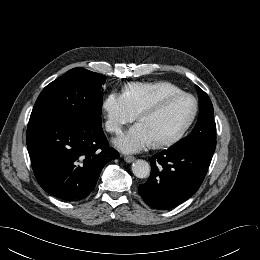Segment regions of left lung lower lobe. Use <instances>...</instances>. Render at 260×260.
I'll list each match as a JSON object with an SVG mask.
<instances>
[{"mask_svg": "<svg viewBox=\"0 0 260 260\" xmlns=\"http://www.w3.org/2000/svg\"><path fill=\"white\" fill-rule=\"evenodd\" d=\"M213 153L170 147L150 159L152 172L138 192L150 207L168 210L190 198L199 189Z\"/></svg>", "mask_w": 260, "mask_h": 260, "instance_id": "obj_1", "label": "left lung lower lobe"}]
</instances>
